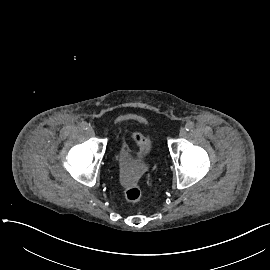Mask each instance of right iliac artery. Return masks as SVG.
<instances>
[{
  "mask_svg": "<svg viewBox=\"0 0 270 270\" xmlns=\"http://www.w3.org/2000/svg\"><path fill=\"white\" fill-rule=\"evenodd\" d=\"M80 126H81V128H82L83 130H87L89 125H88L87 122H82V123L80 124Z\"/></svg>",
  "mask_w": 270,
  "mask_h": 270,
  "instance_id": "obj_1",
  "label": "right iliac artery"
}]
</instances>
